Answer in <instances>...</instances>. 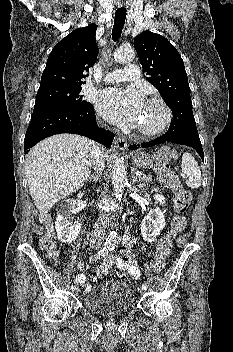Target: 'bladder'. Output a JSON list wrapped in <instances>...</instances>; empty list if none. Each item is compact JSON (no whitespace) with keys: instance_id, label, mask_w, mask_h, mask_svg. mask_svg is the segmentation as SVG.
I'll use <instances>...</instances> for the list:
<instances>
[{"instance_id":"1","label":"bladder","mask_w":233,"mask_h":352,"mask_svg":"<svg viewBox=\"0 0 233 352\" xmlns=\"http://www.w3.org/2000/svg\"><path fill=\"white\" fill-rule=\"evenodd\" d=\"M134 302L133 290L117 281L96 283L84 296V305L89 311L106 315L126 313L133 308Z\"/></svg>"}]
</instances>
